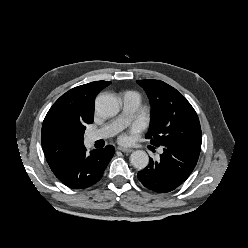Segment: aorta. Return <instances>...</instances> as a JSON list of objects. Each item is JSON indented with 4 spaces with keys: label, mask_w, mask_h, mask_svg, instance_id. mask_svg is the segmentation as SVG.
<instances>
[{
    "label": "aorta",
    "mask_w": 248,
    "mask_h": 248,
    "mask_svg": "<svg viewBox=\"0 0 248 248\" xmlns=\"http://www.w3.org/2000/svg\"><path fill=\"white\" fill-rule=\"evenodd\" d=\"M95 110L102 117H113L119 112V102L111 94H101L95 100ZM131 164L137 169H144L149 163L145 151L136 150L130 155Z\"/></svg>",
    "instance_id": "aorta-1"
}]
</instances>
